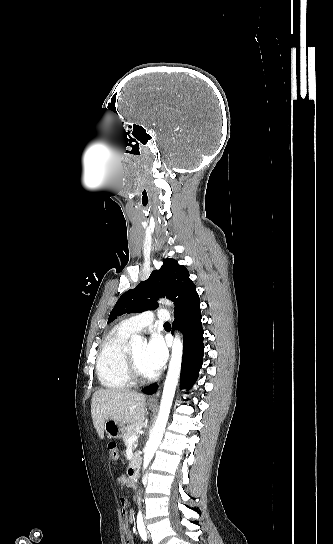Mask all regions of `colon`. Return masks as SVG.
Here are the masks:
<instances>
[{"label": "colon", "mask_w": 333, "mask_h": 544, "mask_svg": "<svg viewBox=\"0 0 333 544\" xmlns=\"http://www.w3.org/2000/svg\"><path fill=\"white\" fill-rule=\"evenodd\" d=\"M108 452L112 461H116L118 459V447L115 442L108 443Z\"/></svg>", "instance_id": "5ec220e1"}]
</instances>
